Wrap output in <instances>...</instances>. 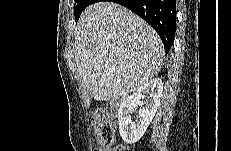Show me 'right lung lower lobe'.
<instances>
[{"label": "right lung lower lobe", "instance_id": "right-lung-lower-lobe-1", "mask_svg": "<svg viewBox=\"0 0 231 151\" xmlns=\"http://www.w3.org/2000/svg\"><path fill=\"white\" fill-rule=\"evenodd\" d=\"M123 5L149 23L160 36L165 53L174 42L176 30V0H112ZM99 2L93 0V3Z\"/></svg>", "mask_w": 231, "mask_h": 151}]
</instances>
